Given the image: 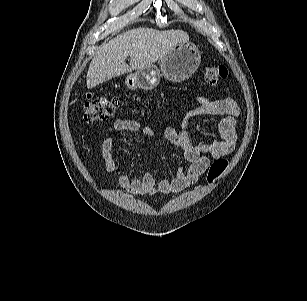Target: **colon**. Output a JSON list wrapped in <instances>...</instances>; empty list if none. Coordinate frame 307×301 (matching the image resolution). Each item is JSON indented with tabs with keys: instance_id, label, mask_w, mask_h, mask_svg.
Instances as JSON below:
<instances>
[{
	"instance_id": "5ec220e1",
	"label": "colon",
	"mask_w": 307,
	"mask_h": 301,
	"mask_svg": "<svg viewBox=\"0 0 307 301\" xmlns=\"http://www.w3.org/2000/svg\"><path fill=\"white\" fill-rule=\"evenodd\" d=\"M227 69L223 65H207L204 68V82L208 86H215L227 77ZM119 100L115 97L88 96L83 106V118L87 122H99L110 118L119 107ZM227 167V161L219 158L209 169L208 181L213 182Z\"/></svg>"
}]
</instances>
